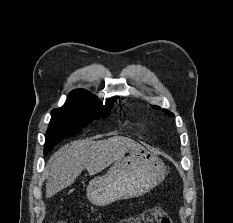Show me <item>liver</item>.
<instances>
[{"mask_svg":"<svg viewBox=\"0 0 233 223\" xmlns=\"http://www.w3.org/2000/svg\"><path fill=\"white\" fill-rule=\"evenodd\" d=\"M138 145L140 143H136L134 139L121 135L97 141L76 139L70 145H63L51 155L47 163L46 197H52L57 191L74 183L83 169H87L90 175H95Z\"/></svg>","mask_w":233,"mask_h":223,"instance_id":"obj_1","label":"liver"}]
</instances>
